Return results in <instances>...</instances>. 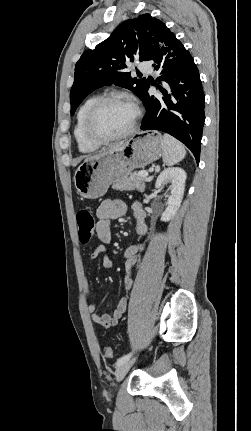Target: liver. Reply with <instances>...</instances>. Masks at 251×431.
I'll use <instances>...</instances> for the list:
<instances>
[{"mask_svg":"<svg viewBox=\"0 0 251 431\" xmlns=\"http://www.w3.org/2000/svg\"><path fill=\"white\" fill-rule=\"evenodd\" d=\"M122 144H123V142L118 143V144H116V145H113V146H111V147H110V148H108V149L102 150L100 153H98V154H96V155H93V156H91V157H88L86 160H90V159H95V158L101 157V156H103V155H105V154H107V153H109V152H111V151H114L115 149L119 148Z\"/></svg>","mask_w":251,"mask_h":431,"instance_id":"obj_1","label":"liver"}]
</instances>
